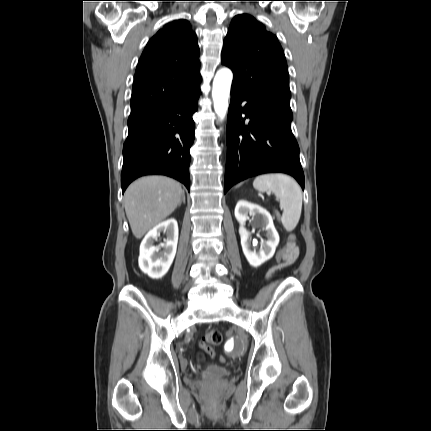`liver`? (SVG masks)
<instances>
[{"label": "liver", "mask_w": 431, "mask_h": 431, "mask_svg": "<svg viewBox=\"0 0 431 431\" xmlns=\"http://www.w3.org/2000/svg\"><path fill=\"white\" fill-rule=\"evenodd\" d=\"M183 190L165 176H146L134 181L125 191V212L133 235L140 239L165 220L179 205Z\"/></svg>", "instance_id": "liver-1"}]
</instances>
